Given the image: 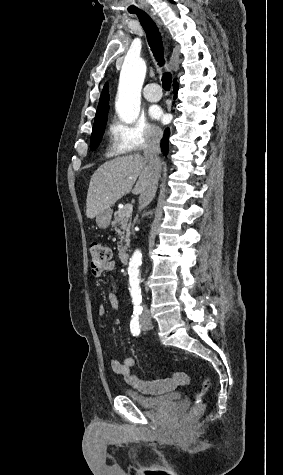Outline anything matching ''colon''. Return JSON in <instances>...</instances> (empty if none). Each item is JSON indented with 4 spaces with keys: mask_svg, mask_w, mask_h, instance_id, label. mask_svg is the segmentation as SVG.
Returning <instances> with one entry per match:
<instances>
[{
    "mask_svg": "<svg viewBox=\"0 0 283 475\" xmlns=\"http://www.w3.org/2000/svg\"><path fill=\"white\" fill-rule=\"evenodd\" d=\"M90 256L92 259V264H91L92 269H100L106 266H108L109 268H112L113 266V263L110 262L111 260L110 250L99 242H94L93 244H91ZM208 386H209V382L204 381L202 383V391L206 390ZM203 408H204V403L201 398V395L198 393L195 396L194 406L190 414L188 415L187 419L199 416V414L203 411Z\"/></svg>",
    "mask_w": 283,
    "mask_h": 475,
    "instance_id": "colon-1",
    "label": "colon"
}]
</instances>
